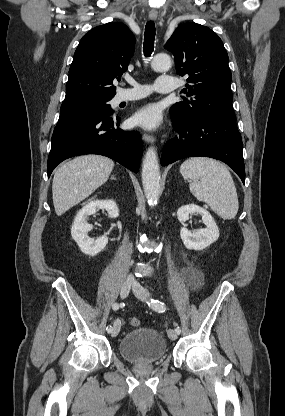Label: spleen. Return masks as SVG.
I'll use <instances>...</instances> for the list:
<instances>
[{"label":"spleen","mask_w":285,"mask_h":416,"mask_svg":"<svg viewBox=\"0 0 285 416\" xmlns=\"http://www.w3.org/2000/svg\"><path fill=\"white\" fill-rule=\"evenodd\" d=\"M180 174L185 180H192L189 184L192 196L205 202L223 220L235 218L239 208L238 196L224 164L212 158H189L181 164Z\"/></svg>","instance_id":"3e777b00"}]
</instances>
